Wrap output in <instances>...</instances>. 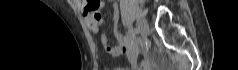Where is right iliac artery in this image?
<instances>
[{"label":"right iliac artery","instance_id":"obj_1","mask_svg":"<svg viewBox=\"0 0 238 70\" xmlns=\"http://www.w3.org/2000/svg\"><path fill=\"white\" fill-rule=\"evenodd\" d=\"M133 34L136 35L139 33V29L138 27H135L133 30H132Z\"/></svg>","mask_w":238,"mask_h":70}]
</instances>
